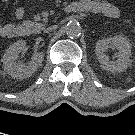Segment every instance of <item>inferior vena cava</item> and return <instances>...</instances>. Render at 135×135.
<instances>
[{"instance_id": "1", "label": "inferior vena cava", "mask_w": 135, "mask_h": 135, "mask_svg": "<svg viewBox=\"0 0 135 135\" xmlns=\"http://www.w3.org/2000/svg\"><path fill=\"white\" fill-rule=\"evenodd\" d=\"M53 29H55V27L47 28V29L45 30V32H49V31H51V30H53Z\"/></svg>"}]
</instances>
